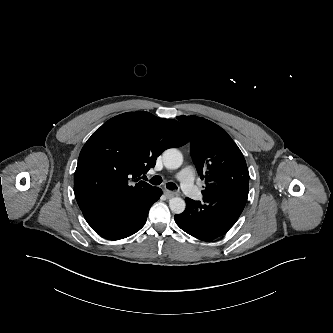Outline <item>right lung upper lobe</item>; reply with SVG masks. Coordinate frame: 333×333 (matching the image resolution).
<instances>
[{
	"label": "right lung upper lobe",
	"instance_id": "right-lung-upper-lobe-1",
	"mask_svg": "<svg viewBox=\"0 0 333 333\" xmlns=\"http://www.w3.org/2000/svg\"><path fill=\"white\" fill-rule=\"evenodd\" d=\"M188 141V132L176 120L142 111L111 118L92 134L80 152L74 174L80 209L141 200L155 187L139 177L153 167L162 151Z\"/></svg>",
	"mask_w": 333,
	"mask_h": 333
}]
</instances>
